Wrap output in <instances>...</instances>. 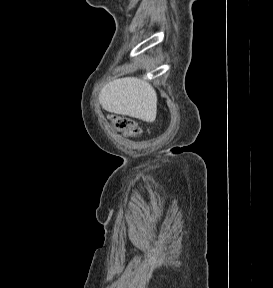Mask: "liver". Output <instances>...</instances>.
Segmentation results:
<instances>
[{"mask_svg": "<svg viewBox=\"0 0 273 288\" xmlns=\"http://www.w3.org/2000/svg\"><path fill=\"white\" fill-rule=\"evenodd\" d=\"M99 102L110 113L154 122L157 113V94L146 81L136 77L116 79L99 93Z\"/></svg>", "mask_w": 273, "mask_h": 288, "instance_id": "6515ba94", "label": "liver"}]
</instances>
